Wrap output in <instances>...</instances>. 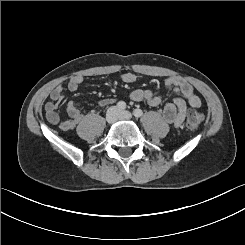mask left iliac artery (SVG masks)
I'll return each mask as SVG.
<instances>
[{
  "label": "left iliac artery",
  "mask_w": 245,
  "mask_h": 245,
  "mask_svg": "<svg viewBox=\"0 0 245 245\" xmlns=\"http://www.w3.org/2000/svg\"><path fill=\"white\" fill-rule=\"evenodd\" d=\"M133 115L137 118L141 117L143 115V111L140 109V108H136L134 111H133Z\"/></svg>",
  "instance_id": "obj_1"
}]
</instances>
